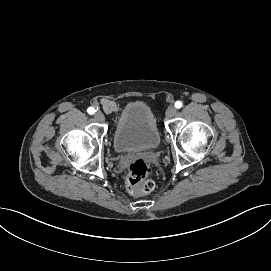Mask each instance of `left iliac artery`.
<instances>
[{
    "instance_id": "1",
    "label": "left iliac artery",
    "mask_w": 271,
    "mask_h": 271,
    "mask_svg": "<svg viewBox=\"0 0 271 271\" xmlns=\"http://www.w3.org/2000/svg\"><path fill=\"white\" fill-rule=\"evenodd\" d=\"M175 107H176V108H181V107H182V102L177 101V102L175 103Z\"/></svg>"
}]
</instances>
